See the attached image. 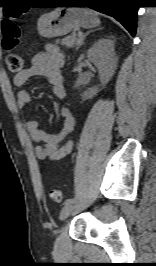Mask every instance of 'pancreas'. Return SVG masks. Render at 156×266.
I'll return each instance as SVG.
<instances>
[{"label":"pancreas","mask_w":156,"mask_h":266,"mask_svg":"<svg viewBox=\"0 0 156 266\" xmlns=\"http://www.w3.org/2000/svg\"><path fill=\"white\" fill-rule=\"evenodd\" d=\"M77 38L75 35H70L68 37H65L61 40H57L56 43H61V45L66 46L68 48H72L74 45H76Z\"/></svg>","instance_id":"cf45deb5"}]
</instances>
